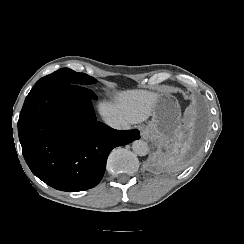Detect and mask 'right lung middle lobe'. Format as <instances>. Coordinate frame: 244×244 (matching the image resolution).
<instances>
[{"instance_id":"right-lung-middle-lobe-1","label":"right lung middle lobe","mask_w":244,"mask_h":244,"mask_svg":"<svg viewBox=\"0 0 244 244\" xmlns=\"http://www.w3.org/2000/svg\"><path fill=\"white\" fill-rule=\"evenodd\" d=\"M95 79L85 73H78L69 68H62L54 73L39 79L35 86H40L46 83H69L74 85H89L95 83Z\"/></svg>"}]
</instances>
